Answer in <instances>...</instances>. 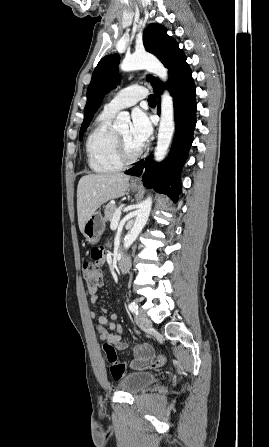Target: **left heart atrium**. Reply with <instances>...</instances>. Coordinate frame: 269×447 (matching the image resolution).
Wrapping results in <instances>:
<instances>
[{
  "label": "left heart atrium",
  "mask_w": 269,
  "mask_h": 447,
  "mask_svg": "<svg viewBox=\"0 0 269 447\" xmlns=\"http://www.w3.org/2000/svg\"><path fill=\"white\" fill-rule=\"evenodd\" d=\"M152 134V126L146 113L136 109L132 114L131 137L140 145H143Z\"/></svg>",
  "instance_id": "obj_1"
}]
</instances>
